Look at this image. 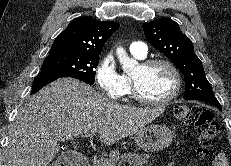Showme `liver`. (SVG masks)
<instances>
[{"mask_svg": "<svg viewBox=\"0 0 231 166\" xmlns=\"http://www.w3.org/2000/svg\"><path fill=\"white\" fill-rule=\"evenodd\" d=\"M163 111L120 105L79 80L60 78L33 95L18 113L9 132L5 166H47L58 154L59 141L92 131L112 145Z\"/></svg>", "mask_w": 231, "mask_h": 166, "instance_id": "6515ba94", "label": "liver"}]
</instances>
